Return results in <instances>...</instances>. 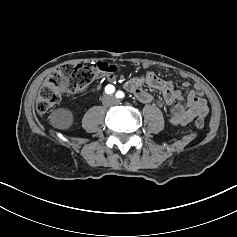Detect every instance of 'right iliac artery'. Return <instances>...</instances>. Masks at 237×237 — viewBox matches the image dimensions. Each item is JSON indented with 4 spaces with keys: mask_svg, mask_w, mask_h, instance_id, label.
<instances>
[{
    "mask_svg": "<svg viewBox=\"0 0 237 237\" xmlns=\"http://www.w3.org/2000/svg\"><path fill=\"white\" fill-rule=\"evenodd\" d=\"M115 91V87L113 86V85H107L106 87H105V92L107 93V94H111V93H113Z\"/></svg>",
    "mask_w": 237,
    "mask_h": 237,
    "instance_id": "right-iliac-artery-1",
    "label": "right iliac artery"
}]
</instances>
